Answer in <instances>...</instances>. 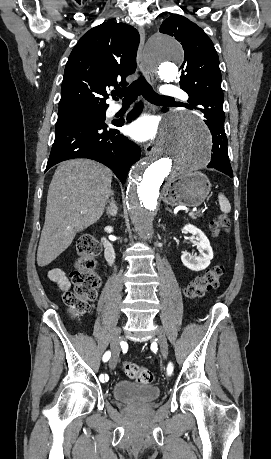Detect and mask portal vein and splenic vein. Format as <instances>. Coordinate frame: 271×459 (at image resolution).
<instances>
[{"label": "portal vein and splenic vein", "instance_id": "18ae733b", "mask_svg": "<svg viewBox=\"0 0 271 459\" xmlns=\"http://www.w3.org/2000/svg\"><path fill=\"white\" fill-rule=\"evenodd\" d=\"M189 214L190 217L194 216V211H191Z\"/></svg>", "mask_w": 271, "mask_h": 459}]
</instances>
